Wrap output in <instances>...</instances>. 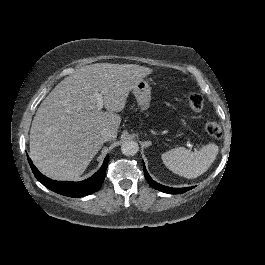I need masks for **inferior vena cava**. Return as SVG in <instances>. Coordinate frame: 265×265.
<instances>
[{"mask_svg":"<svg viewBox=\"0 0 265 265\" xmlns=\"http://www.w3.org/2000/svg\"><path fill=\"white\" fill-rule=\"evenodd\" d=\"M101 136H102L104 141H107V140L113 139L114 133L110 130H104V131H102Z\"/></svg>","mask_w":265,"mask_h":265,"instance_id":"602c4592","label":"inferior vena cava"}]
</instances>
